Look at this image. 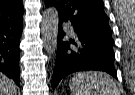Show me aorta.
<instances>
[{"mask_svg": "<svg viewBox=\"0 0 135 95\" xmlns=\"http://www.w3.org/2000/svg\"><path fill=\"white\" fill-rule=\"evenodd\" d=\"M59 14L56 8L49 7L43 13L41 33L44 49L51 54L56 51L58 37Z\"/></svg>", "mask_w": 135, "mask_h": 95, "instance_id": "1", "label": "aorta"}]
</instances>
